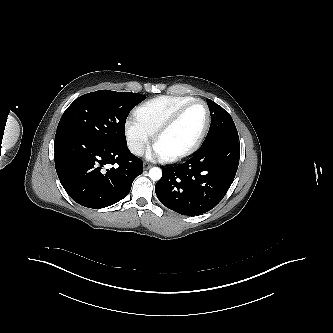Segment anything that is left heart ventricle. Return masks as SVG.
<instances>
[{"label":"left heart ventricle","mask_w":333,"mask_h":333,"mask_svg":"<svg viewBox=\"0 0 333 333\" xmlns=\"http://www.w3.org/2000/svg\"><path fill=\"white\" fill-rule=\"evenodd\" d=\"M205 121V107L202 104L191 106L177 123L159 139L156 149L163 157L186 150L201 133Z\"/></svg>","instance_id":"1"}]
</instances>
